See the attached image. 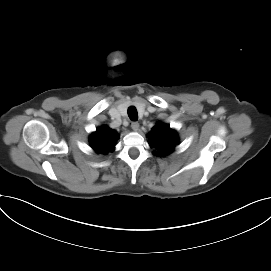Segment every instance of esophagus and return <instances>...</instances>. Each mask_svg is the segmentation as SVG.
<instances>
[{
    "label": "esophagus",
    "instance_id": "obj_1",
    "mask_svg": "<svg viewBox=\"0 0 271 271\" xmlns=\"http://www.w3.org/2000/svg\"><path fill=\"white\" fill-rule=\"evenodd\" d=\"M131 128L134 130V131H138L139 130V123L138 122H132L131 123Z\"/></svg>",
    "mask_w": 271,
    "mask_h": 271
}]
</instances>
